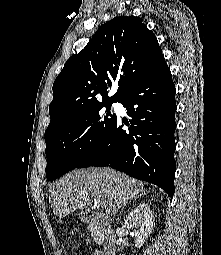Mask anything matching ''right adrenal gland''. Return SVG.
I'll list each match as a JSON object with an SVG mask.
<instances>
[{"mask_svg":"<svg viewBox=\"0 0 221 255\" xmlns=\"http://www.w3.org/2000/svg\"><path fill=\"white\" fill-rule=\"evenodd\" d=\"M139 197H141V195H140V196H136V197L130 199L129 201L131 202L132 200H136V199L139 198ZM126 204H127V202L124 203L123 207L126 206Z\"/></svg>","mask_w":221,"mask_h":255,"instance_id":"right-adrenal-gland-1","label":"right adrenal gland"}]
</instances>
